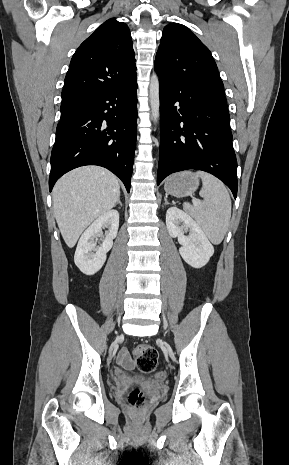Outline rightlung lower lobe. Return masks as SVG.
Returning <instances> with one entry per match:
<instances>
[{"mask_svg": "<svg viewBox=\"0 0 289 465\" xmlns=\"http://www.w3.org/2000/svg\"><path fill=\"white\" fill-rule=\"evenodd\" d=\"M136 76L127 84L82 101L60 120L51 154L49 190L66 172L99 165L117 175L130 191L137 131Z\"/></svg>", "mask_w": 289, "mask_h": 465, "instance_id": "1", "label": "right lung lower lobe"}]
</instances>
